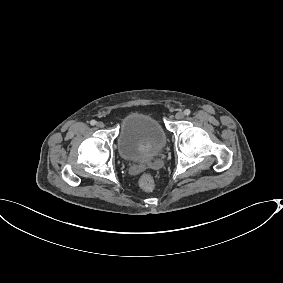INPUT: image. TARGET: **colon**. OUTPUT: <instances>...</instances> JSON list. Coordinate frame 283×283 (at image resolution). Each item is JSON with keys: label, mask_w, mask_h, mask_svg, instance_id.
Wrapping results in <instances>:
<instances>
[{"label": "colon", "mask_w": 283, "mask_h": 283, "mask_svg": "<svg viewBox=\"0 0 283 283\" xmlns=\"http://www.w3.org/2000/svg\"><path fill=\"white\" fill-rule=\"evenodd\" d=\"M139 185L143 190L148 192H151L155 189V181L152 175L148 173H145L140 177Z\"/></svg>", "instance_id": "obj_1"}]
</instances>
